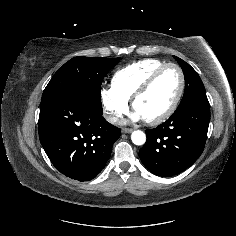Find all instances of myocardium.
I'll list each match as a JSON object with an SVG mask.
<instances>
[{
	"mask_svg": "<svg viewBox=\"0 0 236 236\" xmlns=\"http://www.w3.org/2000/svg\"><path fill=\"white\" fill-rule=\"evenodd\" d=\"M169 68L176 69L179 74V77H180L179 90H178L176 97L174 98V100L170 104V106L162 114H160L158 117H156L154 119L144 120L150 126H156V125H159V124L165 122L168 118H170L173 115V113L177 109V107L183 97V94L185 91V86H186V79H185V74H184L183 69L178 64H175V63L165 64L164 66L159 68L157 71H155L142 84V86L135 92V94L133 95L132 100H131L132 108L135 110V105H136V102L138 101V99L140 97H142L144 94H146L150 90L152 85L156 82V80Z\"/></svg>",
	"mask_w": 236,
	"mask_h": 236,
	"instance_id": "myocardium-1",
	"label": "myocardium"
}]
</instances>
